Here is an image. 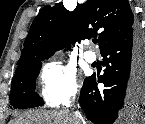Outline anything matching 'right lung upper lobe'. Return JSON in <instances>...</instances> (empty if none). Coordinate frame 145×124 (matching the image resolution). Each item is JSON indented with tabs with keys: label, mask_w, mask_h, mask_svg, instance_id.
Returning a JSON list of instances; mask_svg holds the SVG:
<instances>
[{
	"label": "right lung upper lobe",
	"mask_w": 145,
	"mask_h": 124,
	"mask_svg": "<svg viewBox=\"0 0 145 124\" xmlns=\"http://www.w3.org/2000/svg\"><path fill=\"white\" fill-rule=\"evenodd\" d=\"M134 25L127 0H87L68 12L60 4L45 6L34 19L16 73L44 60L55 51L70 47L77 39L99 34V48Z\"/></svg>",
	"instance_id": "obj_1"
}]
</instances>
